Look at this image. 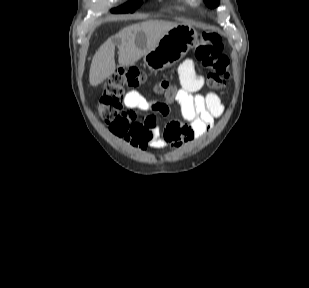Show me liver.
Listing matches in <instances>:
<instances>
[{
  "mask_svg": "<svg viewBox=\"0 0 309 288\" xmlns=\"http://www.w3.org/2000/svg\"><path fill=\"white\" fill-rule=\"evenodd\" d=\"M178 24L163 20H148L132 24L104 42L96 51L89 72V82L97 86L112 75L116 69L115 46H118L120 66H129L152 50L159 39ZM139 34L145 37V46L136 42Z\"/></svg>",
  "mask_w": 309,
  "mask_h": 288,
  "instance_id": "liver-1",
  "label": "liver"
}]
</instances>
